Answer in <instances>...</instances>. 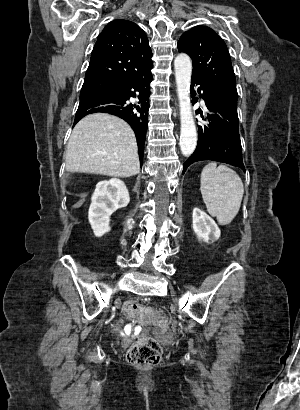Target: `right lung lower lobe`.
<instances>
[{
	"mask_svg": "<svg viewBox=\"0 0 300 410\" xmlns=\"http://www.w3.org/2000/svg\"><path fill=\"white\" fill-rule=\"evenodd\" d=\"M151 80L152 73L149 71L138 76L126 77L110 89L81 96L74 125L82 117L95 112L110 113L124 119L135 132L142 164ZM130 98H137L138 104L128 103Z\"/></svg>",
	"mask_w": 300,
	"mask_h": 410,
	"instance_id": "right-lung-lower-lobe-1",
	"label": "right lung lower lobe"
}]
</instances>
